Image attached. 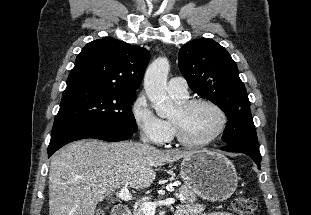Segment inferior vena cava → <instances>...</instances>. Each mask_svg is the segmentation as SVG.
Instances as JSON below:
<instances>
[{
	"label": "inferior vena cava",
	"mask_w": 311,
	"mask_h": 215,
	"mask_svg": "<svg viewBox=\"0 0 311 215\" xmlns=\"http://www.w3.org/2000/svg\"><path fill=\"white\" fill-rule=\"evenodd\" d=\"M140 140L142 141V143H143L144 145H147V143L149 142L148 137H147V135H146L145 133H143V134L141 135Z\"/></svg>",
	"instance_id": "1"
}]
</instances>
